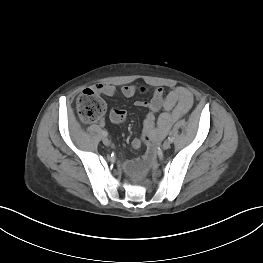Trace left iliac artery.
Listing matches in <instances>:
<instances>
[{
  "label": "left iliac artery",
  "mask_w": 263,
  "mask_h": 263,
  "mask_svg": "<svg viewBox=\"0 0 263 263\" xmlns=\"http://www.w3.org/2000/svg\"><path fill=\"white\" fill-rule=\"evenodd\" d=\"M168 140L172 143L173 140H174L173 136L170 135V136L168 137Z\"/></svg>",
  "instance_id": "obj_1"
}]
</instances>
